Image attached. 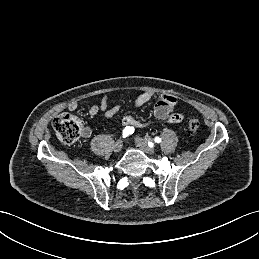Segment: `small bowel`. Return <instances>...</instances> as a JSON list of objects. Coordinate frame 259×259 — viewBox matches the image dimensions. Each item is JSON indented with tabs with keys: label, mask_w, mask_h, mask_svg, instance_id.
Wrapping results in <instances>:
<instances>
[{
	"label": "small bowel",
	"mask_w": 259,
	"mask_h": 259,
	"mask_svg": "<svg viewBox=\"0 0 259 259\" xmlns=\"http://www.w3.org/2000/svg\"><path fill=\"white\" fill-rule=\"evenodd\" d=\"M153 94L150 92H142L140 93L135 101H134V108L141 107L145 105L150 99L152 98ZM177 103V99L175 96L171 94H161L155 103L154 108V115L157 120L162 122H169L178 124L182 122L183 120V114L180 112H174L175 105ZM80 103L77 101H72L68 104V108L71 111L76 110L79 107ZM119 111V107L115 106L112 108H109V97L104 96L101 101L93 105L89 108V115L94 116L98 114L99 112H102L103 117L105 119H110L113 116H115ZM122 124L124 126L133 127V128H141L142 125L136 121L132 116L126 115L122 119ZM91 135V129L88 126H85L82 129V136L85 138L90 137Z\"/></svg>",
	"instance_id": "small-bowel-1"
}]
</instances>
